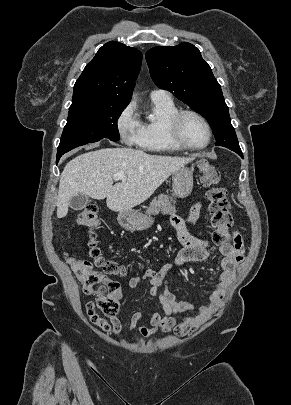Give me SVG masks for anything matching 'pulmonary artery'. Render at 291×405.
Here are the masks:
<instances>
[{
	"label": "pulmonary artery",
	"mask_w": 291,
	"mask_h": 405,
	"mask_svg": "<svg viewBox=\"0 0 291 405\" xmlns=\"http://www.w3.org/2000/svg\"><path fill=\"white\" fill-rule=\"evenodd\" d=\"M151 99H163V100H167V99H171L170 94L163 89H154L151 91L150 93Z\"/></svg>",
	"instance_id": "e3ab8cb5"
}]
</instances>
